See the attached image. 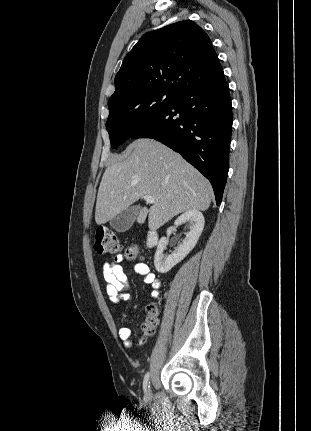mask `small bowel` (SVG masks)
Returning a JSON list of instances; mask_svg holds the SVG:
<instances>
[{
  "label": "small bowel",
  "mask_w": 311,
  "mask_h": 431,
  "mask_svg": "<svg viewBox=\"0 0 311 431\" xmlns=\"http://www.w3.org/2000/svg\"><path fill=\"white\" fill-rule=\"evenodd\" d=\"M122 260L123 256L117 255L112 262L103 264V278L106 283V292L114 305H119L122 301H128L131 298V288L127 282V275L120 264ZM133 270L137 275L142 276L144 283L152 286L151 295L156 298L159 294L158 288L160 283L152 273L150 267L146 263L137 262ZM118 334L126 347L132 345V331L128 327H120Z\"/></svg>",
  "instance_id": "c3829d8e"
}]
</instances>
